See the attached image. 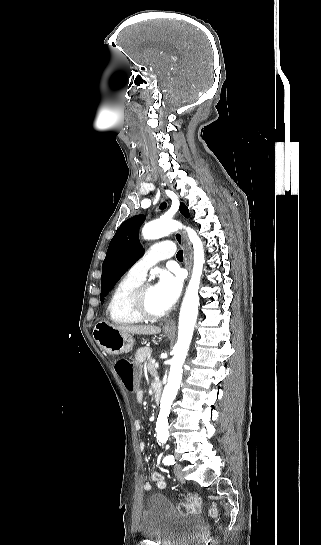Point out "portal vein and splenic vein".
Returning a JSON list of instances; mask_svg holds the SVG:
<instances>
[{
  "label": "portal vein and splenic vein",
  "mask_w": 321,
  "mask_h": 545,
  "mask_svg": "<svg viewBox=\"0 0 321 545\" xmlns=\"http://www.w3.org/2000/svg\"><path fill=\"white\" fill-rule=\"evenodd\" d=\"M155 368H160V365H158V363H155Z\"/></svg>",
  "instance_id": "1"
}]
</instances>
